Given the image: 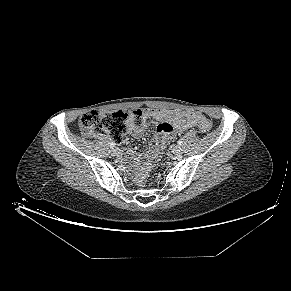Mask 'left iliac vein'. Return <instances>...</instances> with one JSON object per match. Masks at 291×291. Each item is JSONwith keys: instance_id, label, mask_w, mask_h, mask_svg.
<instances>
[{"instance_id": "obj_1", "label": "left iliac vein", "mask_w": 291, "mask_h": 291, "mask_svg": "<svg viewBox=\"0 0 291 291\" xmlns=\"http://www.w3.org/2000/svg\"><path fill=\"white\" fill-rule=\"evenodd\" d=\"M172 152H173V154L179 156V155H181L183 153V149L180 146H174L172 148Z\"/></svg>"}]
</instances>
